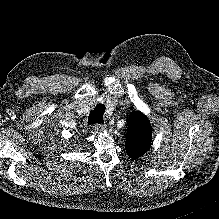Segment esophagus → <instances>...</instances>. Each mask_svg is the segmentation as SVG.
I'll return each mask as SVG.
<instances>
[{"label": "esophagus", "mask_w": 219, "mask_h": 219, "mask_svg": "<svg viewBox=\"0 0 219 219\" xmlns=\"http://www.w3.org/2000/svg\"><path fill=\"white\" fill-rule=\"evenodd\" d=\"M106 129V124H96L93 127L94 131H104Z\"/></svg>", "instance_id": "34e87169"}]
</instances>
